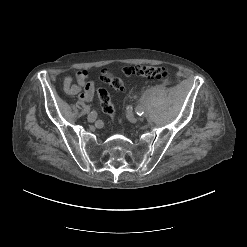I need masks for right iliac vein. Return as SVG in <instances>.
Listing matches in <instances>:
<instances>
[{
    "instance_id": "obj_1",
    "label": "right iliac vein",
    "mask_w": 247,
    "mask_h": 247,
    "mask_svg": "<svg viewBox=\"0 0 247 247\" xmlns=\"http://www.w3.org/2000/svg\"><path fill=\"white\" fill-rule=\"evenodd\" d=\"M97 114H98V110L96 108H93L91 110V113L88 114V121L89 122H94L95 121V118L97 117Z\"/></svg>"
}]
</instances>
